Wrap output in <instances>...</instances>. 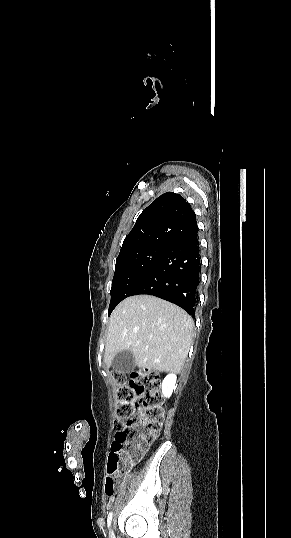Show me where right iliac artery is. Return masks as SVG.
I'll use <instances>...</instances> for the list:
<instances>
[{"instance_id": "82829eb1", "label": "right iliac artery", "mask_w": 291, "mask_h": 538, "mask_svg": "<svg viewBox=\"0 0 291 538\" xmlns=\"http://www.w3.org/2000/svg\"><path fill=\"white\" fill-rule=\"evenodd\" d=\"M111 521H112V512H110V513L108 514V517H107V525H108V527L110 526Z\"/></svg>"}]
</instances>
